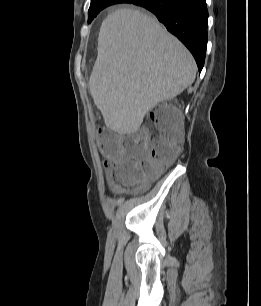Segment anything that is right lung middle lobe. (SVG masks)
<instances>
[{"label":"right lung middle lobe","mask_w":261,"mask_h":306,"mask_svg":"<svg viewBox=\"0 0 261 306\" xmlns=\"http://www.w3.org/2000/svg\"><path fill=\"white\" fill-rule=\"evenodd\" d=\"M117 3H124V1L120 0H107V1H100V2H93L90 4V8L88 11V22L90 23L96 15L106 8L107 6L117 4Z\"/></svg>","instance_id":"obj_1"}]
</instances>
